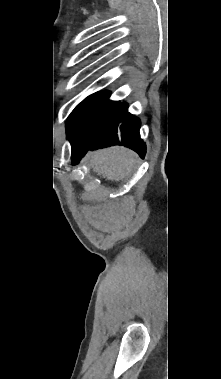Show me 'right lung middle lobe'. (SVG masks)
Masks as SVG:
<instances>
[{
    "instance_id": "obj_1",
    "label": "right lung middle lobe",
    "mask_w": 221,
    "mask_h": 379,
    "mask_svg": "<svg viewBox=\"0 0 221 379\" xmlns=\"http://www.w3.org/2000/svg\"><path fill=\"white\" fill-rule=\"evenodd\" d=\"M108 91L87 97L67 120V137L71 143L93 142L114 117L119 102L110 101Z\"/></svg>"
}]
</instances>
